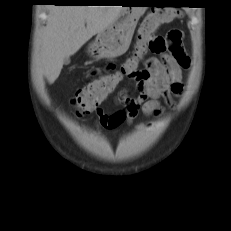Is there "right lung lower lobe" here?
<instances>
[{"label":"right lung lower lobe","instance_id":"98d812e1","mask_svg":"<svg viewBox=\"0 0 231 231\" xmlns=\"http://www.w3.org/2000/svg\"><path fill=\"white\" fill-rule=\"evenodd\" d=\"M51 2H55L58 5H68V4H74L75 2L71 0H50Z\"/></svg>","mask_w":231,"mask_h":231}]
</instances>
